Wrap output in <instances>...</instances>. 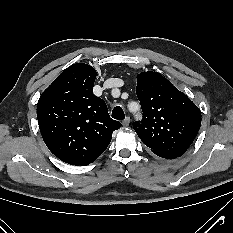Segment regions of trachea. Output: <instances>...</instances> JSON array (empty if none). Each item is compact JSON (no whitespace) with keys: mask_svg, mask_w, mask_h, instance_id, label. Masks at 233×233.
<instances>
[{"mask_svg":"<svg viewBox=\"0 0 233 233\" xmlns=\"http://www.w3.org/2000/svg\"><path fill=\"white\" fill-rule=\"evenodd\" d=\"M112 117L116 120H123L125 118L123 109L120 106L115 107L112 111Z\"/></svg>","mask_w":233,"mask_h":233,"instance_id":"trachea-1","label":"trachea"}]
</instances>
